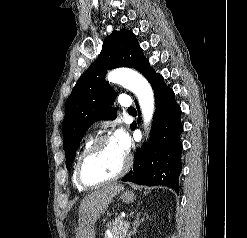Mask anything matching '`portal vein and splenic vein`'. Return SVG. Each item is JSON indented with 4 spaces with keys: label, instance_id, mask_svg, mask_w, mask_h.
Wrapping results in <instances>:
<instances>
[{
    "label": "portal vein and splenic vein",
    "instance_id": "obj_1",
    "mask_svg": "<svg viewBox=\"0 0 247 238\" xmlns=\"http://www.w3.org/2000/svg\"><path fill=\"white\" fill-rule=\"evenodd\" d=\"M126 224L129 225L130 223L128 221H126Z\"/></svg>",
    "mask_w": 247,
    "mask_h": 238
}]
</instances>
